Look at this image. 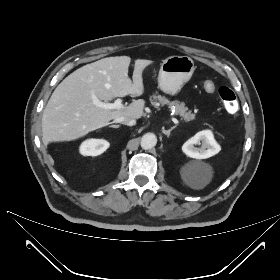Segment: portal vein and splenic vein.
<instances>
[{
  "mask_svg": "<svg viewBox=\"0 0 280 280\" xmlns=\"http://www.w3.org/2000/svg\"><path fill=\"white\" fill-rule=\"evenodd\" d=\"M122 102H123L122 99H117V100L114 101V103H104V102H101L99 100H95L94 104L99 106V107H102L104 109H121V108L124 107ZM171 120L176 125L180 124L179 121L175 117H172Z\"/></svg>",
  "mask_w": 280,
  "mask_h": 280,
  "instance_id": "obj_1",
  "label": "portal vein and splenic vein"
}]
</instances>
